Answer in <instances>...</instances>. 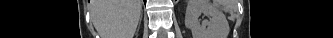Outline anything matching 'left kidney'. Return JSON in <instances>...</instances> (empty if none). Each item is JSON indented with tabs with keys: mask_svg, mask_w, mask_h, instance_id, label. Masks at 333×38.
<instances>
[{
	"mask_svg": "<svg viewBox=\"0 0 333 38\" xmlns=\"http://www.w3.org/2000/svg\"><path fill=\"white\" fill-rule=\"evenodd\" d=\"M201 14L209 20L201 21ZM185 25L193 38H227L230 30L226 16L209 0H188Z\"/></svg>",
	"mask_w": 333,
	"mask_h": 38,
	"instance_id": "1",
	"label": "left kidney"
}]
</instances>
